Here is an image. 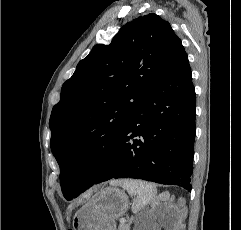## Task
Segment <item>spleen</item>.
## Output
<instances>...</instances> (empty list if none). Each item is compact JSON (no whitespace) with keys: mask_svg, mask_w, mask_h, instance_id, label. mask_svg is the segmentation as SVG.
Instances as JSON below:
<instances>
[{"mask_svg":"<svg viewBox=\"0 0 241 230\" xmlns=\"http://www.w3.org/2000/svg\"><path fill=\"white\" fill-rule=\"evenodd\" d=\"M111 185L121 186L131 197H133L132 212L138 213L141 211L148 203H150L157 194V189L155 185L141 181V180H116L112 181Z\"/></svg>","mask_w":241,"mask_h":230,"instance_id":"1","label":"spleen"}]
</instances>
